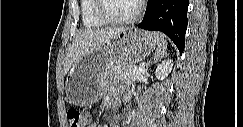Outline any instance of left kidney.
I'll use <instances>...</instances> for the list:
<instances>
[{
  "label": "left kidney",
  "mask_w": 243,
  "mask_h": 127,
  "mask_svg": "<svg viewBox=\"0 0 243 127\" xmlns=\"http://www.w3.org/2000/svg\"><path fill=\"white\" fill-rule=\"evenodd\" d=\"M173 61L166 60L157 66L155 76L159 80H164L172 70Z\"/></svg>",
  "instance_id": "left-kidney-1"
}]
</instances>
